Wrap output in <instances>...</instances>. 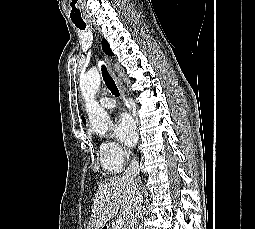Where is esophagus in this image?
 I'll return each instance as SVG.
<instances>
[{
    "label": "esophagus",
    "instance_id": "34e87169",
    "mask_svg": "<svg viewBox=\"0 0 255 229\" xmlns=\"http://www.w3.org/2000/svg\"><path fill=\"white\" fill-rule=\"evenodd\" d=\"M105 62H106V65L108 67V70H109V73L110 75L112 76V78L114 79L116 85H117V88L120 92V95H121V98H122V101L124 102V104L129 108V111L130 113L132 114V116L134 117L136 123H138V120H137V117H136V113H135V110L133 109V107H130L129 106V102H128V99L125 95V92H124V89L120 83V81L118 80V78L116 77V74H115V71L113 70V67H112V63H111V60L108 56L105 57Z\"/></svg>",
    "mask_w": 255,
    "mask_h": 229
}]
</instances>
